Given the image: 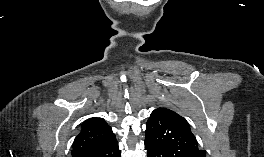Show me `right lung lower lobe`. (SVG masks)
<instances>
[{"label": "right lung lower lobe", "mask_w": 264, "mask_h": 157, "mask_svg": "<svg viewBox=\"0 0 264 157\" xmlns=\"http://www.w3.org/2000/svg\"><path fill=\"white\" fill-rule=\"evenodd\" d=\"M82 157H121V151L118 148L117 140L114 139L110 143L86 153Z\"/></svg>", "instance_id": "98d812e1"}]
</instances>
